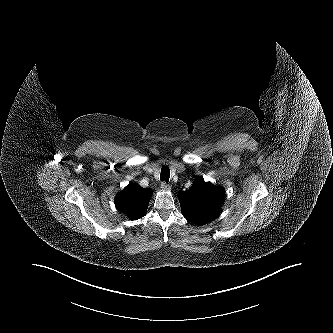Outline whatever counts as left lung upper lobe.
<instances>
[{
    "instance_id": "left-lung-upper-lobe-1",
    "label": "left lung upper lobe",
    "mask_w": 333,
    "mask_h": 333,
    "mask_svg": "<svg viewBox=\"0 0 333 333\" xmlns=\"http://www.w3.org/2000/svg\"><path fill=\"white\" fill-rule=\"evenodd\" d=\"M224 198L223 187L205 182L202 178H198L189 190L178 193L183 216L198 225L211 222L219 216Z\"/></svg>"
}]
</instances>
